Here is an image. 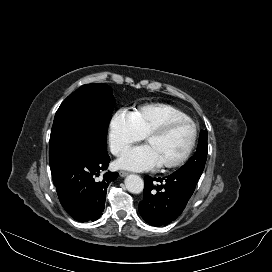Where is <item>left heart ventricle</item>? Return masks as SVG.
<instances>
[{
	"instance_id": "1",
	"label": "left heart ventricle",
	"mask_w": 272,
	"mask_h": 272,
	"mask_svg": "<svg viewBox=\"0 0 272 272\" xmlns=\"http://www.w3.org/2000/svg\"><path fill=\"white\" fill-rule=\"evenodd\" d=\"M192 138V127L181 124L172 128L168 133L147 140L161 163H170L179 159L187 150Z\"/></svg>"
}]
</instances>
